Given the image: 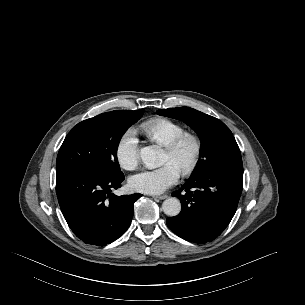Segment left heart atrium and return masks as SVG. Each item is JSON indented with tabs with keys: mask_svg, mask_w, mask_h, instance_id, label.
Listing matches in <instances>:
<instances>
[{
	"mask_svg": "<svg viewBox=\"0 0 305 305\" xmlns=\"http://www.w3.org/2000/svg\"><path fill=\"white\" fill-rule=\"evenodd\" d=\"M181 171L172 163L154 169L144 170L130 178V186L133 190L147 193L160 194L180 179Z\"/></svg>",
	"mask_w": 305,
	"mask_h": 305,
	"instance_id": "obj_1",
	"label": "left heart atrium"
}]
</instances>
